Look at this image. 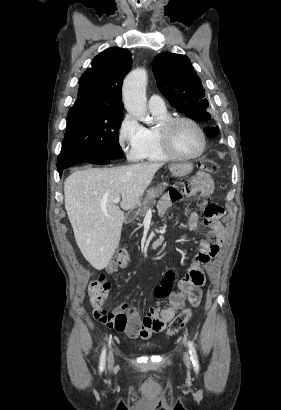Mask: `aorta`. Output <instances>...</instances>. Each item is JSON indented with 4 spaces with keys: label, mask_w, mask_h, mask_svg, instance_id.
I'll return each instance as SVG.
<instances>
[{
    "label": "aorta",
    "mask_w": 281,
    "mask_h": 410,
    "mask_svg": "<svg viewBox=\"0 0 281 410\" xmlns=\"http://www.w3.org/2000/svg\"><path fill=\"white\" fill-rule=\"evenodd\" d=\"M147 72L136 69L130 72L123 83V102L128 113L140 121L149 122L146 99Z\"/></svg>",
    "instance_id": "762f6f07"
}]
</instances>
